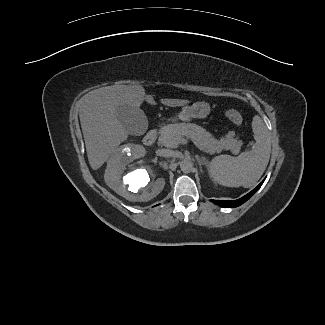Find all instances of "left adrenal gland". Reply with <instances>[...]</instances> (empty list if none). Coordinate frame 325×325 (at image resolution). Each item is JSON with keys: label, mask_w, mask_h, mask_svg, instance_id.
Returning a JSON list of instances; mask_svg holds the SVG:
<instances>
[{"label": "left adrenal gland", "mask_w": 325, "mask_h": 325, "mask_svg": "<svg viewBox=\"0 0 325 325\" xmlns=\"http://www.w3.org/2000/svg\"><path fill=\"white\" fill-rule=\"evenodd\" d=\"M196 160L200 167H202V165L207 166V164H208V160L205 157H200V156L196 155ZM201 172H202V170H201Z\"/></svg>", "instance_id": "1"}]
</instances>
